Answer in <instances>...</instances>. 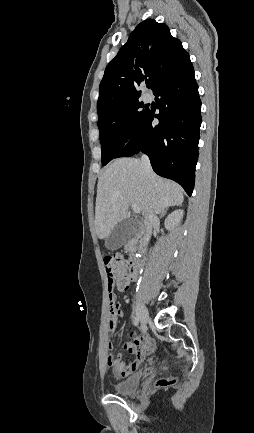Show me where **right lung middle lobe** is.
I'll list each match as a JSON object with an SVG mask.
<instances>
[{
	"label": "right lung middle lobe",
	"mask_w": 254,
	"mask_h": 433,
	"mask_svg": "<svg viewBox=\"0 0 254 433\" xmlns=\"http://www.w3.org/2000/svg\"><path fill=\"white\" fill-rule=\"evenodd\" d=\"M138 100L108 108L98 113V128L102 149V165L110 162L123 148L122 130L128 138L133 134L147 109Z\"/></svg>",
	"instance_id": "obj_1"
}]
</instances>
